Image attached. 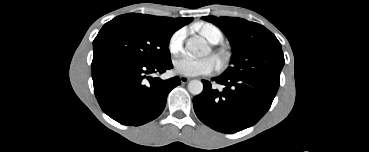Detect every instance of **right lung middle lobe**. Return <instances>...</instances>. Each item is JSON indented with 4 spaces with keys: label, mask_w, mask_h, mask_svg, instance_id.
I'll use <instances>...</instances> for the list:
<instances>
[{
    "label": "right lung middle lobe",
    "mask_w": 369,
    "mask_h": 152,
    "mask_svg": "<svg viewBox=\"0 0 369 152\" xmlns=\"http://www.w3.org/2000/svg\"><path fill=\"white\" fill-rule=\"evenodd\" d=\"M175 31L130 14L115 17L102 27L93 41L92 69L113 61L155 64L169 60L168 45Z\"/></svg>",
    "instance_id": "obj_1"
}]
</instances>
